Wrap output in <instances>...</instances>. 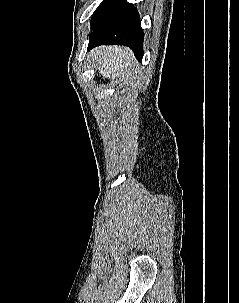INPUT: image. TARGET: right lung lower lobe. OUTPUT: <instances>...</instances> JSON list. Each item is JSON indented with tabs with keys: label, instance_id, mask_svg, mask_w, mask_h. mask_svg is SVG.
I'll use <instances>...</instances> for the list:
<instances>
[{
	"label": "right lung lower lobe",
	"instance_id": "right-lung-lower-lobe-1",
	"mask_svg": "<svg viewBox=\"0 0 239 303\" xmlns=\"http://www.w3.org/2000/svg\"><path fill=\"white\" fill-rule=\"evenodd\" d=\"M88 50L102 44L130 47L137 59L143 57L144 33L137 9L126 0H110L91 23Z\"/></svg>",
	"mask_w": 239,
	"mask_h": 303
}]
</instances>
